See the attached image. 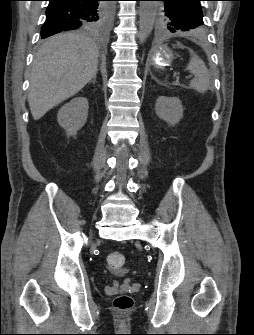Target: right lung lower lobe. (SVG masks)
<instances>
[{"label":"right lung lower lobe","instance_id":"right-lung-lower-lobe-1","mask_svg":"<svg viewBox=\"0 0 254 335\" xmlns=\"http://www.w3.org/2000/svg\"><path fill=\"white\" fill-rule=\"evenodd\" d=\"M46 21L41 37L47 38L61 31L80 28L90 31L100 16L98 2L102 0H48Z\"/></svg>","mask_w":254,"mask_h":335}]
</instances>
